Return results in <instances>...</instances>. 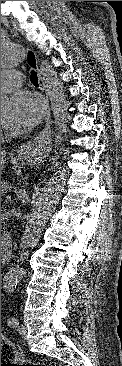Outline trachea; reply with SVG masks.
Masks as SVG:
<instances>
[{
    "label": "trachea",
    "mask_w": 122,
    "mask_h": 366,
    "mask_svg": "<svg viewBox=\"0 0 122 366\" xmlns=\"http://www.w3.org/2000/svg\"><path fill=\"white\" fill-rule=\"evenodd\" d=\"M30 80L34 85L38 86V77L35 71L31 72Z\"/></svg>",
    "instance_id": "1"
}]
</instances>
